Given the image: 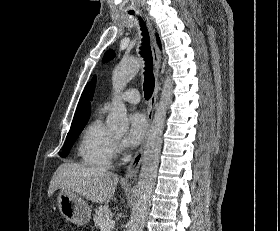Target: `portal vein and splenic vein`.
<instances>
[{
    "label": "portal vein and splenic vein",
    "instance_id": "18ae733b",
    "mask_svg": "<svg viewBox=\"0 0 280 231\" xmlns=\"http://www.w3.org/2000/svg\"><path fill=\"white\" fill-rule=\"evenodd\" d=\"M114 225H115L114 219H106V221H104V223H102L101 225V231H110V229H112Z\"/></svg>",
    "mask_w": 280,
    "mask_h": 231
}]
</instances>
